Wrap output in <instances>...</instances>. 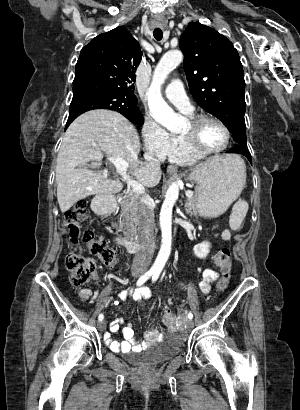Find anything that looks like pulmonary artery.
Wrapping results in <instances>:
<instances>
[{"label":"pulmonary artery","mask_w":300,"mask_h":410,"mask_svg":"<svg viewBox=\"0 0 300 410\" xmlns=\"http://www.w3.org/2000/svg\"><path fill=\"white\" fill-rule=\"evenodd\" d=\"M165 97L169 102L185 113H191L193 111V107L190 104L189 98L186 95L180 80L174 79L169 83L165 89Z\"/></svg>","instance_id":"obj_1"}]
</instances>
